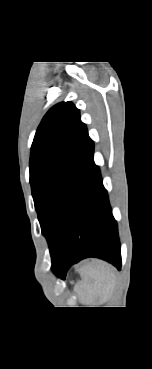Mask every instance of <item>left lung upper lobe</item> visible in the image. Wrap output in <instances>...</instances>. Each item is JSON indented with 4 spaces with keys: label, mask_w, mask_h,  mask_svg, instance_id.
<instances>
[{
    "label": "left lung upper lobe",
    "mask_w": 152,
    "mask_h": 369,
    "mask_svg": "<svg viewBox=\"0 0 152 369\" xmlns=\"http://www.w3.org/2000/svg\"><path fill=\"white\" fill-rule=\"evenodd\" d=\"M93 150L94 143L72 102L53 106L36 131L29 163L30 184L52 261L60 250Z\"/></svg>",
    "instance_id": "obj_1"
}]
</instances>
